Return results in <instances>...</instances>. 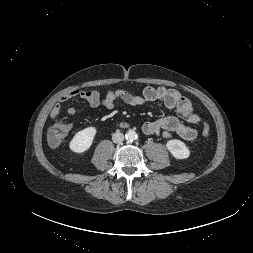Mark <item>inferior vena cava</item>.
I'll return each instance as SVG.
<instances>
[{"label":"inferior vena cava","mask_w":253,"mask_h":253,"mask_svg":"<svg viewBox=\"0 0 253 253\" xmlns=\"http://www.w3.org/2000/svg\"><path fill=\"white\" fill-rule=\"evenodd\" d=\"M112 140L114 143H121L124 140V135L121 132H115L112 135Z\"/></svg>","instance_id":"obj_1"}]
</instances>
